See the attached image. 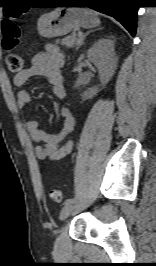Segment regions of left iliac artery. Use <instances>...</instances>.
I'll list each match as a JSON object with an SVG mask.
<instances>
[{
	"label": "left iliac artery",
	"mask_w": 156,
	"mask_h": 266,
	"mask_svg": "<svg viewBox=\"0 0 156 266\" xmlns=\"http://www.w3.org/2000/svg\"><path fill=\"white\" fill-rule=\"evenodd\" d=\"M75 202H78V199H75ZM74 203V199H67L65 202H64V205H68V204H72Z\"/></svg>",
	"instance_id": "44dca946"
}]
</instances>
